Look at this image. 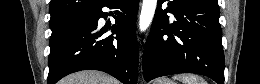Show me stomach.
Instances as JSON below:
<instances>
[{
  "instance_id": "1",
  "label": "stomach",
  "mask_w": 260,
  "mask_h": 84,
  "mask_svg": "<svg viewBox=\"0 0 260 84\" xmlns=\"http://www.w3.org/2000/svg\"><path fill=\"white\" fill-rule=\"evenodd\" d=\"M155 84H176L175 82H173L172 80L170 79H167V78H161V79H158Z\"/></svg>"
}]
</instances>
